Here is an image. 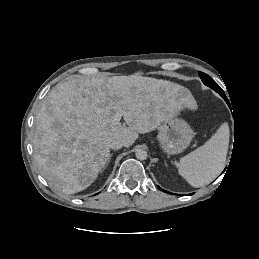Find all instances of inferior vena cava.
Instances as JSON below:
<instances>
[{"mask_svg":"<svg viewBox=\"0 0 259 259\" xmlns=\"http://www.w3.org/2000/svg\"><path fill=\"white\" fill-rule=\"evenodd\" d=\"M123 146H124V143L120 139H114L109 144V147L114 149V150L121 149Z\"/></svg>","mask_w":259,"mask_h":259,"instance_id":"inferior-vena-cava-1","label":"inferior vena cava"}]
</instances>
